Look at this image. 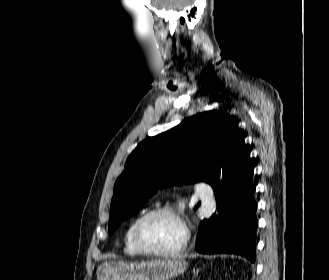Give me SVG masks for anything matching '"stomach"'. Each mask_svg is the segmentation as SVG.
Wrapping results in <instances>:
<instances>
[{"label": "stomach", "mask_w": 329, "mask_h": 280, "mask_svg": "<svg viewBox=\"0 0 329 280\" xmlns=\"http://www.w3.org/2000/svg\"><path fill=\"white\" fill-rule=\"evenodd\" d=\"M188 263L181 258L141 262L111 261L97 269V280H169L182 275Z\"/></svg>", "instance_id": "obj_1"}]
</instances>
